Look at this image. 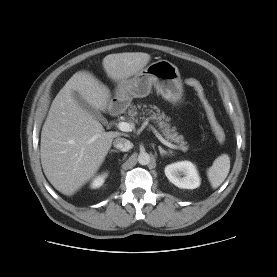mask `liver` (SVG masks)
Wrapping results in <instances>:
<instances>
[{
  "label": "liver",
  "instance_id": "liver-1",
  "mask_svg": "<svg viewBox=\"0 0 277 277\" xmlns=\"http://www.w3.org/2000/svg\"><path fill=\"white\" fill-rule=\"evenodd\" d=\"M150 55L126 52L107 55L103 67L117 83L128 80L149 62ZM78 92L95 110L111 107L110 90L88 71L76 72L54 98L41 132L40 156L45 176L64 195H73L102 165L118 132L101 123L73 98Z\"/></svg>",
  "mask_w": 277,
  "mask_h": 277
}]
</instances>
